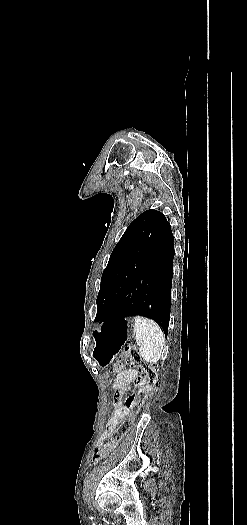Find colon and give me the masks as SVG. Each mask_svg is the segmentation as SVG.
I'll list each match as a JSON object with an SVG mask.
<instances>
[{"instance_id":"obj_1","label":"colon","mask_w":247,"mask_h":525,"mask_svg":"<svg viewBox=\"0 0 247 525\" xmlns=\"http://www.w3.org/2000/svg\"><path fill=\"white\" fill-rule=\"evenodd\" d=\"M124 365H132L140 375L135 378L136 392L124 398V406L128 416L121 422L110 436L112 444H116L128 433L131 423L138 414L142 403L148 399L151 391L158 385V371L155 363L147 362L141 356L134 343L126 344L118 357V364L112 369L114 376H119Z\"/></svg>"}]
</instances>
